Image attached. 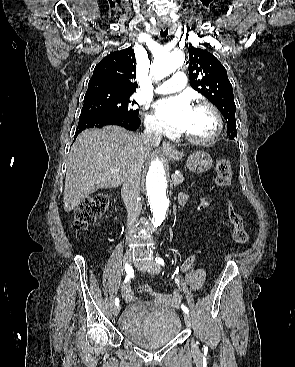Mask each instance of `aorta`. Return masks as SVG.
Returning <instances> with one entry per match:
<instances>
[{
  "mask_svg": "<svg viewBox=\"0 0 295 367\" xmlns=\"http://www.w3.org/2000/svg\"><path fill=\"white\" fill-rule=\"evenodd\" d=\"M185 56L183 52L174 50L158 56L153 63L152 74L160 80L183 66ZM146 194L155 227L161 225L169 207L168 182L165 164L155 158L151 161L146 176Z\"/></svg>",
  "mask_w": 295,
  "mask_h": 367,
  "instance_id": "aorta-1",
  "label": "aorta"
}]
</instances>
